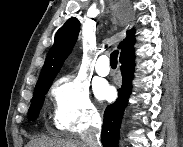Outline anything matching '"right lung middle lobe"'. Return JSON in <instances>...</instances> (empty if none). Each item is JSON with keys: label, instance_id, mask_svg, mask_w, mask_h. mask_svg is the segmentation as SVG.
<instances>
[{"label": "right lung middle lobe", "instance_id": "1", "mask_svg": "<svg viewBox=\"0 0 183 147\" xmlns=\"http://www.w3.org/2000/svg\"><path fill=\"white\" fill-rule=\"evenodd\" d=\"M49 88L50 87H46L39 90H35L34 96L31 101V106L28 111V119L30 121H33L38 117L44 102L45 94L48 92Z\"/></svg>", "mask_w": 183, "mask_h": 147}]
</instances>
